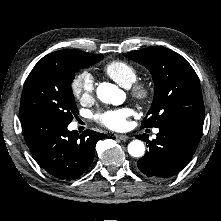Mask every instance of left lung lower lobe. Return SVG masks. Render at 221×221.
<instances>
[{"instance_id":"left-lung-lower-lobe-1","label":"left lung lower lobe","mask_w":221,"mask_h":221,"mask_svg":"<svg viewBox=\"0 0 221 221\" xmlns=\"http://www.w3.org/2000/svg\"><path fill=\"white\" fill-rule=\"evenodd\" d=\"M204 118L183 117L159 127L157 138L149 142V151L137 162L142 173L153 179H165L180 172L192 158L201 139ZM136 138L143 140L144 135Z\"/></svg>"}]
</instances>
